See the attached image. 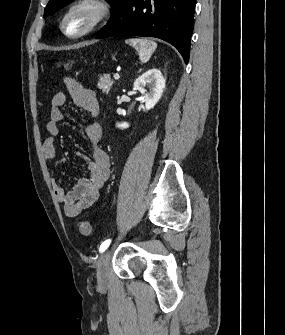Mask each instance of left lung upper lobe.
Instances as JSON below:
<instances>
[{"mask_svg":"<svg viewBox=\"0 0 285 335\" xmlns=\"http://www.w3.org/2000/svg\"><path fill=\"white\" fill-rule=\"evenodd\" d=\"M72 0H49L47 6L45 7L44 18L48 15L56 12L58 9L66 5L67 3L71 2ZM111 4L112 9L116 7V5L121 0H106Z\"/></svg>","mask_w":285,"mask_h":335,"instance_id":"5c2ea615","label":"left lung upper lobe"}]
</instances>
